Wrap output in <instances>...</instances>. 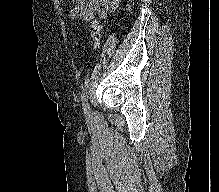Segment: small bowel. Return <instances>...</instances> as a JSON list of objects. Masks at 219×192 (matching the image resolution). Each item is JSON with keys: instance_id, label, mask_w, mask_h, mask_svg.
Returning a JSON list of instances; mask_svg holds the SVG:
<instances>
[{"instance_id": "small-bowel-1", "label": "small bowel", "mask_w": 219, "mask_h": 192, "mask_svg": "<svg viewBox=\"0 0 219 192\" xmlns=\"http://www.w3.org/2000/svg\"><path fill=\"white\" fill-rule=\"evenodd\" d=\"M121 0H71V15L83 22L91 21L95 15L106 19L110 12L117 9Z\"/></svg>"}]
</instances>
